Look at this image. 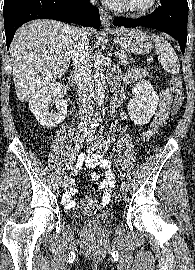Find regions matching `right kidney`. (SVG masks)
Segmentation results:
<instances>
[{"label":"right kidney","instance_id":"1","mask_svg":"<svg viewBox=\"0 0 195 270\" xmlns=\"http://www.w3.org/2000/svg\"><path fill=\"white\" fill-rule=\"evenodd\" d=\"M62 85L53 82L41 88L29 100V107L37 121L44 127H55L60 124L67 114V101L59 98ZM55 103L56 109L50 110V105Z\"/></svg>","mask_w":195,"mask_h":270}]
</instances>
